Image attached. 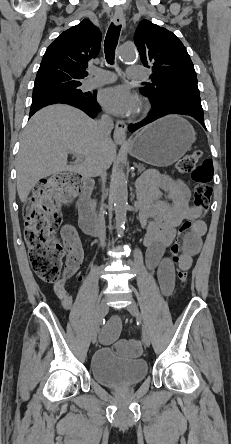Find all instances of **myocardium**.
Returning a JSON list of instances; mask_svg holds the SVG:
<instances>
[{
  "label": "myocardium",
  "instance_id": "obj_1",
  "mask_svg": "<svg viewBox=\"0 0 231 444\" xmlns=\"http://www.w3.org/2000/svg\"><path fill=\"white\" fill-rule=\"evenodd\" d=\"M147 109V105L146 104H142V106H141V110L142 111H145Z\"/></svg>",
  "mask_w": 231,
  "mask_h": 444
}]
</instances>
